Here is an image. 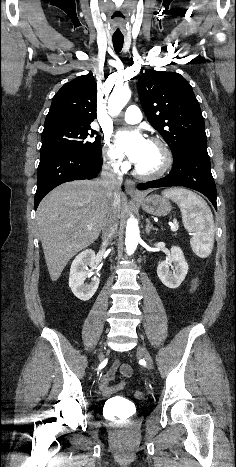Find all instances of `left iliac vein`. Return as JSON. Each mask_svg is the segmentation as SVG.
Instances as JSON below:
<instances>
[{"mask_svg": "<svg viewBox=\"0 0 236 467\" xmlns=\"http://www.w3.org/2000/svg\"><path fill=\"white\" fill-rule=\"evenodd\" d=\"M138 352L146 360L148 368L150 370H152L153 369V361H152V358H151L149 352L147 351V349L143 345H140V346H138Z\"/></svg>", "mask_w": 236, "mask_h": 467, "instance_id": "left-iliac-vein-1", "label": "left iliac vein"}]
</instances>
